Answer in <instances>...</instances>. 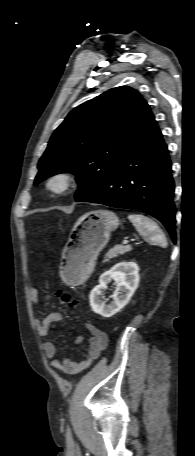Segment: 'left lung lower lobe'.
Instances as JSON below:
<instances>
[{"label":"left lung lower lobe","mask_w":195,"mask_h":456,"mask_svg":"<svg viewBox=\"0 0 195 456\" xmlns=\"http://www.w3.org/2000/svg\"><path fill=\"white\" fill-rule=\"evenodd\" d=\"M173 194L167 145L150 111L103 185L83 201L147 213L163 223L175 242Z\"/></svg>","instance_id":"obj_1"}]
</instances>
